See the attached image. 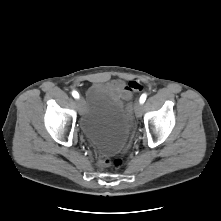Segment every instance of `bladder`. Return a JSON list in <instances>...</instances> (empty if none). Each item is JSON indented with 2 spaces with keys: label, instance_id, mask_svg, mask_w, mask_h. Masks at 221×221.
Instances as JSON below:
<instances>
[{
  "label": "bladder",
  "instance_id": "31cf9c89",
  "mask_svg": "<svg viewBox=\"0 0 221 221\" xmlns=\"http://www.w3.org/2000/svg\"><path fill=\"white\" fill-rule=\"evenodd\" d=\"M83 99L80 129L101 153H119L131 132V114L122 100L104 84L94 82Z\"/></svg>",
  "mask_w": 221,
  "mask_h": 221
}]
</instances>
